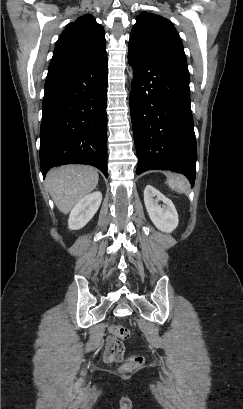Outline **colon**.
<instances>
[{
	"label": "colon",
	"instance_id": "1",
	"mask_svg": "<svg viewBox=\"0 0 243 409\" xmlns=\"http://www.w3.org/2000/svg\"><path fill=\"white\" fill-rule=\"evenodd\" d=\"M112 333L122 340H127L130 337V331L121 326H112ZM145 362V358L142 355H131L121 366L122 372H130L141 367Z\"/></svg>",
	"mask_w": 243,
	"mask_h": 409
}]
</instances>
